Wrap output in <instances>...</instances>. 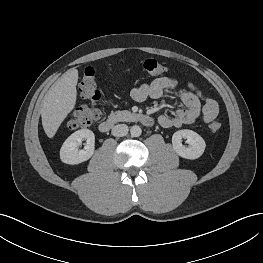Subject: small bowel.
Wrapping results in <instances>:
<instances>
[{"instance_id":"obj_1","label":"small bowel","mask_w":263,"mask_h":263,"mask_svg":"<svg viewBox=\"0 0 263 263\" xmlns=\"http://www.w3.org/2000/svg\"><path fill=\"white\" fill-rule=\"evenodd\" d=\"M176 95L184 108L177 109L171 116L161 115L159 124L164 128H180L183 125L194 124L198 118L204 122H211L218 115V104L215 100L206 97L194 84L190 83L187 90H178L176 79L162 76L150 83L142 84L131 91V97L136 102H143L147 98L160 99L165 96Z\"/></svg>"}]
</instances>
